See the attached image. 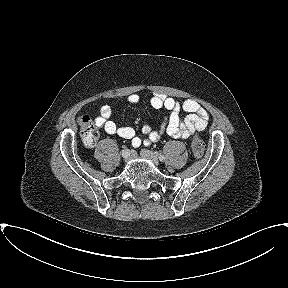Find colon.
<instances>
[{
	"instance_id": "5ec220e1",
	"label": "colon",
	"mask_w": 288,
	"mask_h": 288,
	"mask_svg": "<svg viewBox=\"0 0 288 288\" xmlns=\"http://www.w3.org/2000/svg\"><path fill=\"white\" fill-rule=\"evenodd\" d=\"M78 124L83 142L88 146L94 145L99 138V132L92 118L88 115H83L79 117ZM191 148L196 158H201L203 156L205 145L203 140L198 135L193 137Z\"/></svg>"
}]
</instances>
